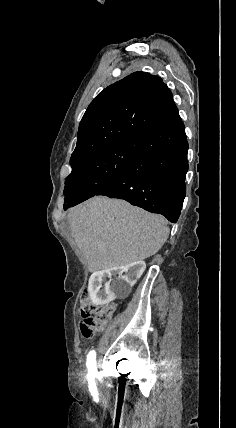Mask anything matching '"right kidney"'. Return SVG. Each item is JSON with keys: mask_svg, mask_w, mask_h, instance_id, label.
<instances>
[{"mask_svg": "<svg viewBox=\"0 0 236 428\" xmlns=\"http://www.w3.org/2000/svg\"><path fill=\"white\" fill-rule=\"evenodd\" d=\"M144 270L146 264L143 260L116 269H96L95 275L89 280L88 288L93 304L109 306L111 301L130 300L129 290L141 278ZM111 280L112 283H108Z\"/></svg>", "mask_w": 236, "mask_h": 428, "instance_id": "right-kidney-1", "label": "right kidney"}]
</instances>
